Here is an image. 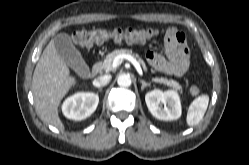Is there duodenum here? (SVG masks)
Instances as JSON below:
<instances>
[{"label":"duodenum","mask_w":249,"mask_h":165,"mask_svg":"<svg viewBox=\"0 0 249 165\" xmlns=\"http://www.w3.org/2000/svg\"><path fill=\"white\" fill-rule=\"evenodd\" d=\"M99 71H100V62H95L91 67L90 75L93 77L97 75Z\"/></svg>","instance_id":"410a0bca"}]
</instances>
